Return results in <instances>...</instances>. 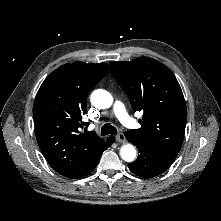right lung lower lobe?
<instances>
[{
	"mask_svg": "<svg viewBox=\"0 0 221 221\" xmlns=\"http://www.w3.org/2000/svg\"><path fill=\"white\" fill-rule=\"evenodd\" d=\"M114 140H115V138L113 136H110L107 139L104 148L91 159V161L88 163V165L85 167V169L76 178L83 177V176L89 174L92 170H94V168L96 167V165L98 164V162L100 160L102 153L114 142Z\"/></svg>",
	"mask_w": 221,
	"mask_h": 221,
	"instance_id": "right-lung-lower-lobe-1",
	"label": "right lung lower lobe"
}]
</instances>
